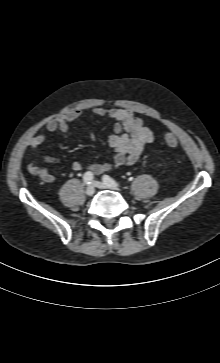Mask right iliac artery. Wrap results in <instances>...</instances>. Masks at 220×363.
<instances>
[{
    "instance_id": "82829eb1",
    "label": "right iliac artery",
    "mask_w": 220,
    "mask_h": 363,
    "mask_svg": "<svg viewBox=\"0 0 220 363\" xmlns=\"http://www.w3.org/2000/svg\"><path fill=\"white\" fill-rule=\"evenodd\" d=\"M94 178V175L92 172L88 171L84 174L83 176V180L86 184H91L92 183V180Z\"/></svg>"
}]
</instances>
